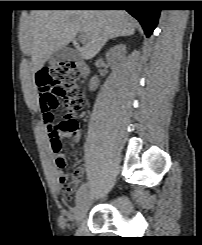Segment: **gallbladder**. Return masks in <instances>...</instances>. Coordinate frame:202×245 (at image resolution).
<instances>
[{
	"label": "gallbladder",
	"instance_id": "bac80fb5",
	"mask_svg": "<svg viewBox=\"0 0 202 245\" xmlns=\"http://www.w3.org/2000/svg\"><path fill=\"white\" fill-rule=\"evenodd\" d=\"M77 57L78 53L76 50L70 47H62L51 54L49 57V63L54 65L63 61H73Z\"/></svg>",
	"mask_w": 202,
	"mask_h": 245
}]
</instances>
